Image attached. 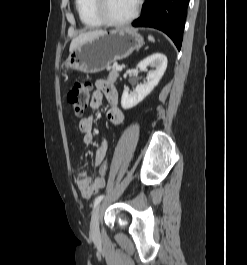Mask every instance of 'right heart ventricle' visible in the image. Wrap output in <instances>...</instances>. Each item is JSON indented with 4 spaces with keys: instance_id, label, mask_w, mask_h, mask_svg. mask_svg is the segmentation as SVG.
Returning <instances> with one entry per match:
<instances>
[{
    "instance_id": "right-heart-ventricle-1",
    "label": "right heart ventricle",
    "mask_w": 247,
    "mask_h": 265,
    "mask_svg": "<svg viewBox=\"0 0 247 265\" xmlns=\"http://www.w3.org/2000/svg\"><path fill=\"white\" fill-rule=\"evenodd\" d=\"M94 0H75V6L81 22L88 28L101 27L103 23L95 14Z\"/></svg>"
}]
</instances>
